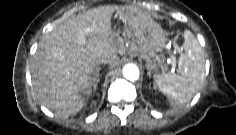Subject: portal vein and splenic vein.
<instances>
[{
  "instance_id": "1",
  "label": "portal vein and splenic vein",
  "mask_w": 236,
  "mask_h": 135,
  "mask_svg": "<svg viewBox=\"0 0 236 135\" xmlns=\"http://www.w3.org/2000/svg\"><path fill=\"white\" fill-rule=\"evenodd\" d=\"M175 50L180 51L179 47L177 45L174 46ZM170 60H171V64L173 69H175L176 67V57L172 54L170 55Z\"/></svg>"
}]
</instances>
